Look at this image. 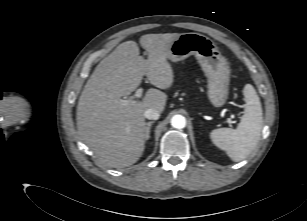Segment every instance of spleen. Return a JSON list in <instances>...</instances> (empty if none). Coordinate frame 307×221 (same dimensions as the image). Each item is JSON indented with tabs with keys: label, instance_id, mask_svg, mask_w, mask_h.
<instances>
[{
	"label": "spleen",
	"instance_id": "3e777b00",
	"mask_svg": "<svg viewBox=\"0 0 307 221\" xmlns=\"http://www.w3.org/2000/svg\"><path fill=\"white\" fill-rule=\"evenodd\" d=\"M246 107L236 129L219 128L210 133L212 142L235 162L245 159L257 146L263 126L260 99L251 84L243 90Z\"/></svg>",
	"mask_w": 307,
	"mask_h": 221
}]
</instances>
